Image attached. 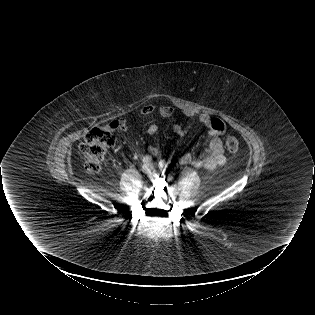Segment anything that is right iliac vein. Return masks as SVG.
Wrapping results in <instances>:
<instances>
[{
  "label": "right iliac vein",
  "instance_id": "right-iliac-vein-1",
  "mask_svg": "<svg viewBox=\"0 0 315 315\" xmlns=\"http://www.w3.org/2000/svg\"><path fill=\"white\" fill-rule=\"evenodd\" d=\"M142 170H143V172H145V173H150L151 170H152V166L149 165V164H144V165L142 166Z\"/></svg>",
  "mask_w": 315,
  "mask_h": 315
}]
</instances>
